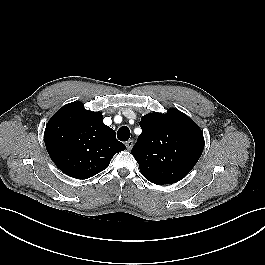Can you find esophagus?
I'll use <instances>...</instances> for the list:
<instances>
[{"label": "esophagus", "instance_id": "1", "mask_svg": "<svg viewBox=\"0 0 265 265\" xmlns=\"http://www.w3.org/2000/svg\"><path fill=\"white\" fill-rule=\"evenodd\" d=\"M132 146H133V140H128V141L126 142V147H127V149L130 150V149L132 148Z\"/></svg>", "mask_w": 265, "mask_h": 265}]
</instances>
